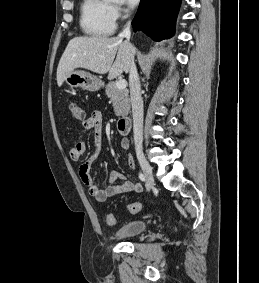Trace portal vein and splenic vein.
I'll list each match as a JSON object with an SVG mask.
<instances>
[{
    "label": "portal vein and splenic vein",
    "mask_w": 259,
    "mask_h": 283,
    "mask_svg": "<svg viewBox=\"0 0 259 283\" xmlns=\"http://www.w3.org/2000/svg\"><path fill=\"white\" fill-rule=\"evenodd\" d=\"M116 86L118 89H124L127 86V82L124 79L117 81Z\"/></svg>",
    "instance_id": "1"
}]
</instances>
